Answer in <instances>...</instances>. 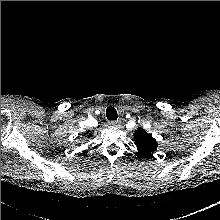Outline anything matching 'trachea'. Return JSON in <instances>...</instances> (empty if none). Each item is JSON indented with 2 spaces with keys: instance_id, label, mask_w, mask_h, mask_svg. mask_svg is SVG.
Listing matches in <instances>:
<instances>
[{
  "instance_id": "trachea-1",
  "label": "trachea",
  "mask_w": 220,
  "mask_h": 220,
  "mask_svg": "<svg viewBox=\"0 0 220 220\" xmlns=\"http://www.w3.org/2000/svg\"><path fill=\"white\" fill-rule=\"evenodd\" d=\"M106 117L108 120H117L118 115L114 107L110 106L106 109Z\"/></svg>"
}]
</instances>
